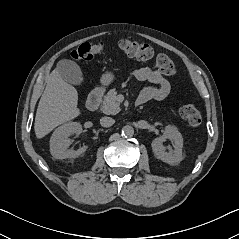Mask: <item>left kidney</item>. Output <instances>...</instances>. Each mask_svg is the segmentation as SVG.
Segmentation results:
<instances>
[{"mask_svg":"<svg viewBox=\"0 0 239 239\" xmlns=\"http://www.w3.org/2000/svg\"><path fill=\"white\" fill-rule=\"evenodd\" d=\"M167 139L173 143V150L166 151L163 142ZM152 150L157 159L162 160L170 165H177L183 158V138L175 126L167 125L162 136L155 138L152 143Z\"/></svg>","mask_w":239,"mask_h":239,"instance_id":"1","label":"left kidney"}]
</instances>
